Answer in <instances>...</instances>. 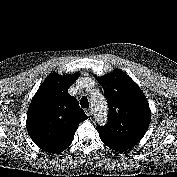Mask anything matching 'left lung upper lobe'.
I'll return each instance as SVG.
<instances>
[{"mask_svg": "<svg viewBox=\"0 0 177 177\" xmlns=\"http://www.w3.org/2000/svg\"><path fill=\"white\" fill-rule=\"evenodd\" d=\"M104 89L109 106V120L98 127L100 139L106 143L134 147L145 135L151 110L147 98L139 86L124 72L113 70L97 78Z\"/></svg>", "mask_w": 177, "mask_h": 177, "instance_id": "1", "label": "left lung upper lobe"}]
</instances>
